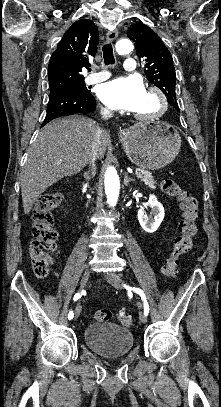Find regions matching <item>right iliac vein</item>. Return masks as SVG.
Returning a JSON list of instances; mask_svg holds the SVG:
<instances>
[{
  "instance_id": "1",
  "label": "right iliac vein",
  "mask_w": 221,
  "mask_h": 407,
  "mask_svg": "<svg viewBox=\"0 0 221 407\" xmlns=\"http://www.w3.org/2000/svg\"><path fill=\"white\" fill-rule=\"evenodd\" d=\"M90 274H91L90 269H86L84 271V273L82 275V278H81V281H80L81 289H83L86 286V284H87V282L89 280ZM80 311H81L80 306H77L76 309H75V317L76 318L79 316Z\"/></svg>"
}]
</instances>
